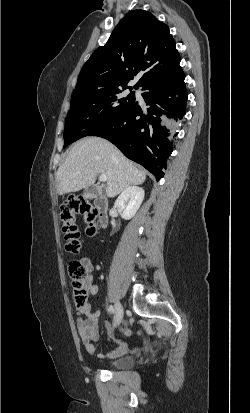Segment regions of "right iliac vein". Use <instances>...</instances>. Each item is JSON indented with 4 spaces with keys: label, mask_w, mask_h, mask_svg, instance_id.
Segmentation results:
<instances>
[{
    "label": "right iliac vein",
    "mask_w": 250,
    "mask_h": 413,
    "mask_svg": "<svg viewBox=\"0 0 250 413\" xmlns=\"http://www.w3.org/2000/svg\"><path fill=\"white\" fill-rule=\"evenodd\" d=\"M123 307L122 305L117 302L115 305V316H114V324L118 325L121 323L122 319H123Z\"/></svg>",
    "instance_id": "obj_1"
}]
</instances>
